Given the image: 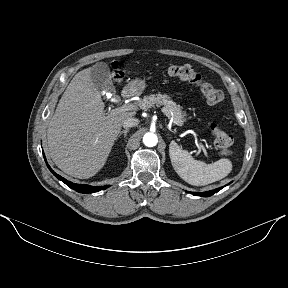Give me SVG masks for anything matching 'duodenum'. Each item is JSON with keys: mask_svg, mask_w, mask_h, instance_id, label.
<instances>
[{"mask_svg": "<svg viewBox=\"0 0 288 288\" xmlns=\"http://www.w3.org/2000/svg\"><path fill=\"white\" fill-rule=\"evenodd\" d=\"M131 95H132V92H131L130 89H125V90L122 92V96H123V98H125V99L131 97Z\"/></svg>", "mask_w": 288, "mask_h": 288, "instance_id": "410a0bca", "label": "duodenum"}]
</instances>
